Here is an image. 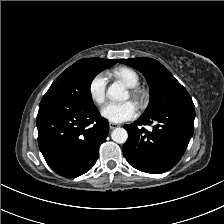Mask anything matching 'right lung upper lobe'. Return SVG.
<instances>
[{
  "label": "right lung upper lobe",
  "mask_w": 224,
  "mask_h": 224,
  "mask_svg": "<svg viewBox=\"0 0 224 224\" xmlns=\"http://www.w3.org/2000/svg\"><path fill=\"white\" fill-rule=\"evenodd\" d=\"M104 60L110 61V62H113V63H117L118 62V60H107V59H104Z\"/></svg>",
  "instance_id": "right-lung-upper-lobe-1"
}]
</instances>
